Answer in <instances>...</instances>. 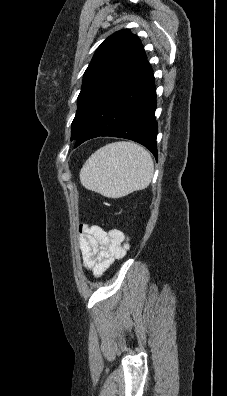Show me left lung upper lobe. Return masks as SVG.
Segmentation results:
<instances>
[{
    "instance_id": "5c2ea615",
    "label": "left lung upper lobe",
    "mask_w": 227,
    "mask_h": 396,
    "mask_svg": "<svg viewBox=\"0 0 227 396\" xmlns=\"http://www.w3.org/2000/svg\"><path fill=\"white\" fill-rule=\"evenodd\" d=\"M145 60L140 39L128 29L115 32L97 48L83 76L71 141L78 138L101 100Z\"/></svg>"
}]
</instances>
